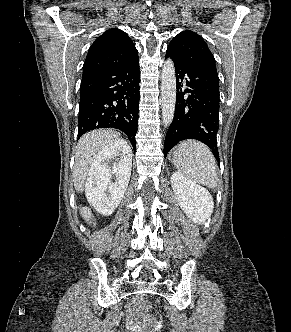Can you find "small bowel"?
<instances>
[{"label": "small bowel", "mask_w": 291, "mask_h": 332, "mask_svg": "<svg viewBox=\"0 0 291 332\" xmlns=\"http://www.w3.org/2000/svg\"><path fill=\"white\" fill-rule=\"evenodd\" d=\"M132 317H133V320L136 322H147V323L151 322L150 317L141 314L140 312H138L136 310V308H133V310H132Z\"/></svg>", "instance_id": "1"}]
</instances>
